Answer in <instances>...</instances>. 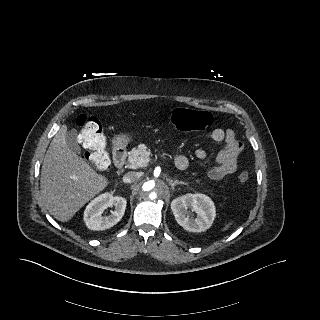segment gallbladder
<instances>
[{
	"instance_id": "bac80fb5",
	"label": "gallbladder",
	"mask_w": 320,
	"mask_h": 320,
	"mask_svg": "<svg viewBox=\"0 0 320 320\" xmlns=\"http://www.w3.org/2000/svg\"><path fill=\"white\" fill-rule=\"evenodd\" d=\"M76 138H77L76 130L71 129L67 132L66 142H67L68 147L76 154H79L80 147L77 144Z\"/></svg>"
}]
</instances>
